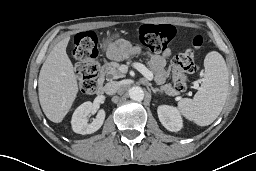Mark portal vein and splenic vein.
<instances>
[{"label":"portal vein and splenic vein","mask_w":256,"mask_h":171,"mask_svg":"<svg viewBox=\"0 0 256 171\" xmlns=\"http://www.w3.org/2000/svg\"><path fill=\"white\" fill-rule=\"evenodd\" d=\"M133 67H134L136 70H138L140 73H142V74L144 75V77H145L146 79H148L149 81H152V80H153V77H154L153 73H152L150 70H148V69L145 67V65H143V64H141V63H139V62H134V63H133ZM121 69H122L123 72H127V71H128V66H127V65H122V66H121Z\"/></svg>","instance_id":"obj_1"}]
</instances>
